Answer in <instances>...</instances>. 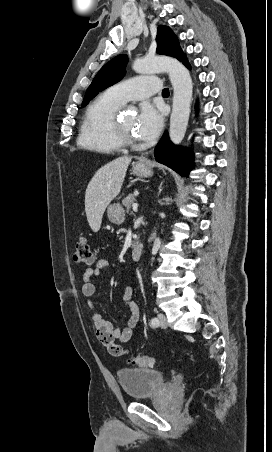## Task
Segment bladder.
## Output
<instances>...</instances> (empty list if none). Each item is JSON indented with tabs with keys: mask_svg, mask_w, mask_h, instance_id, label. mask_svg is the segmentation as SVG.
Segmentation results:
<instances>
[{
	"mask_svg": "<svg viewBox=\"0 0 272 452\" xmlns=\"http://www.w3.org/2000/svg\"><path fill=\"white\" fill-rule=\"evenodd\" d=\"M117 379L131 399H142L156 394L167 383L163 373L150 368H127L117 371Z\"/></svg>",
	"mask_w": 272,
	"mask_h": 452,
	"instance_id": "bladder-1",
	"label": "bladder"
}]
</instances>
